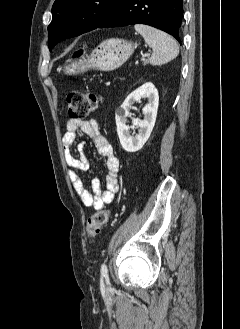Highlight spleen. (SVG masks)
<instances>
[{
	"label": "spleen",
	"instance_id": "obj_1",
	"mask_svg": "<svg viewBox=\"0 0 240 329\" xmlns=\"http://www.w3.org/2000/svg\"><path fill=\"white\" fill-rule=\"evenodd\" d=\"M134 28L153 50L150 57L152 65H162L178 56V44L167 33L143 24H136Z\"/></svg>",
	"mask_w": 240,
	"mask_h": 329
}]
</instances>
